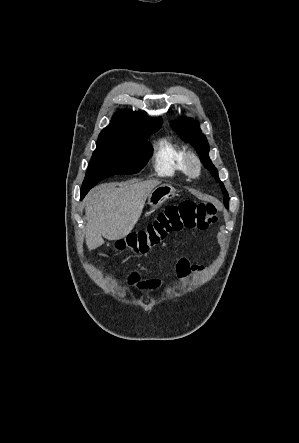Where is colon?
Instances as JSON below:
<instances>
[{"label": "colon", "mask_w": 299, "mask_h": 443, "mask_svg": "<svg viewBox=\"0 0 299 443\" xmlns=\"http://www.w3.org/2000/svg\"><path fill=\"white\" fill-rule=\"evenodd\" d=\"M217 221V208L212 203L184 200L169 206L146 228L131 232L115 243L116 250L146 253L168 234L182 229H206Z\"/></svg>", "instance_id": "1"}]
</instances>
